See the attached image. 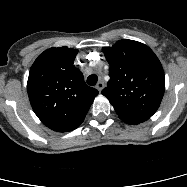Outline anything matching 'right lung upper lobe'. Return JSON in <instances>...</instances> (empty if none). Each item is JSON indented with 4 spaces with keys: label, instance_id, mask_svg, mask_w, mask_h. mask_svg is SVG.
I'll list each match as a JSON object with an SVG mask.
<instances>
[{
    "label": "right lung upper lobe",
    "instance_id": "obj_1",
    "mask_svg": "<svg viewBox=\"0 0 187 187\" xmlns=\"http://www.w3.org/2000/svg\"><path fill=\"white\" fill-rule=\"evenodd\" d=\"M77 49L45 50L29 72L27 92L31 106L48 128L68 132L83 122L98 91L86 85L74 65Z\"/></svg>",
    "mask_w": 187,
    "mask_h": 187
}]
</instances>
